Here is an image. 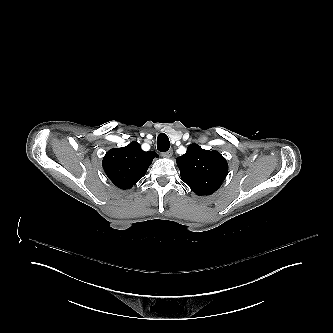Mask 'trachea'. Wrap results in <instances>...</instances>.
Instances as JSON below:
<instances>
[{"instance_id": "1", "label": "trachea", "mask_w": 333, "mask_h": 333, "mask_svg": "<svg viewBox=\"0 0 333 333\" xmlns=\"http://www.w3.org/2000/svg\"><path fill=\"white\" fill-rule=\"evenodd\" d=\"M170 148V141L166 134L160 133L157 138V149L160 152H166Z\"/></svg>"}]
</instances>
